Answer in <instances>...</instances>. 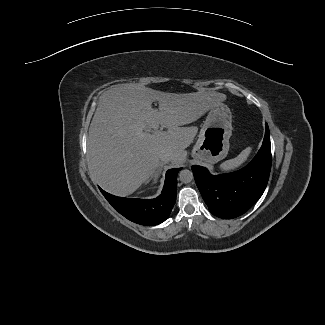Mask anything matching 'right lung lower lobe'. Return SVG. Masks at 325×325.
Listing matches in <instances>:
<instances>
[{
  "mask_svg": "<svg viewBox=\"0 0 325 325\" xmlns=\"http://www.w3.org/2000/svg\"><path fill=\"white\" fill-rule=\"evenodd\" d=\"M181 168L169 169L161 194L154 199H132L111 195L100 188V191L121 215L132 222L152 226L165 221L176 201L177 174Z\"/></svg>",
  "mask_w": 325,
  "mask_h": 325,
  "instance_id": "98d812e1",
  "label": "right lung lower lobe"
}]
</instances>
